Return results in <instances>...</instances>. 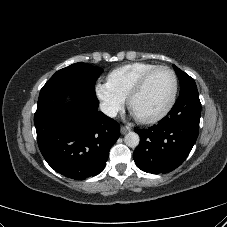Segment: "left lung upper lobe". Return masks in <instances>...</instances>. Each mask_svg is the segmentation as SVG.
<instances>
[{"label":"left lung upper lobe","mask_w":227,"mask_h":227,"mask_svg":"<svg viewBox=\"0 0 227 227\" xmlns=\"http://www.w3.org/2000/svg\"><path fill=\"white\" fill-rule=\"evenodd\" d=\"M173 67L180 81V94L190 89H197L196 83L192 77L180 70L177 66L173 65Z\"/></svg>","instance_id":"obj_1"}]
</instances>
